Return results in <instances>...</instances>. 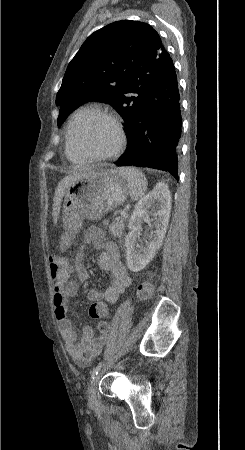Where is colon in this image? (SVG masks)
Here are the masks:
<instances>
[{
	"label": "colon",
	"instance_id": "obj_1",
	"mask_svg": "<svg viewBox=\"0 0 245 450\" xmlns=\"http://www.w3.org/2000/svg\"><path fill=\"white\" fill-rule=\"evenodd\" d=\"M61 259L55 252L50 255V265L55 271L61 266ZM153 293L152 274L148 273L146 278L138 285L136 289V299L139 301H147ZM90 317L94 320H104L110 316V309L104 302H94L89 309Z\"/></svg>",
	"mask_w": 245,
	"mask_h": 450
}]
</instances>
